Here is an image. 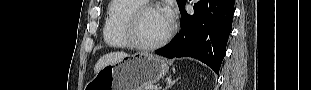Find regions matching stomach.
Here are the masks:
<instances>
[{
    "instance_id": "stomach-1",
    "label": "stomach",
    "mask_w": 311,
    "mask_h": 90,
    "mask_svg": "<svg viewBox=\"0 0 311 90\" xmlns=\"http://www.w3.org/2000/svg\"><path fill=\"white\" fill-rule=\"evenodd\" d=\"M169 66L161 57L147 52L123 58L97 72L87 90H142L167 74Z\"/></svg>"
}]
</instances>
